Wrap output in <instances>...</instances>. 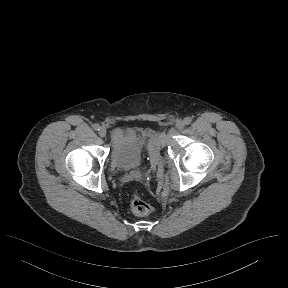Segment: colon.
Masks as SVG:
<instances>
[{
  "mask_svg": "<svg viewBox=\"0 0 288 288\" xmlns=\"http://www.w3.org/2000/svg\"><path fill=\"white\" fill-rule=\"evenodd\" d=\"M130 208L134 214L144 216L152 211V206L146 202L138 193H135L130 198Z\"/></svg>",
  "mask_w": 288,
  "mask_h": 288,
  "instance_id": "1",
  "label": "colon"
}]
</instances>
